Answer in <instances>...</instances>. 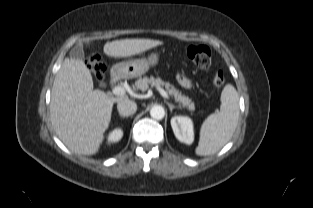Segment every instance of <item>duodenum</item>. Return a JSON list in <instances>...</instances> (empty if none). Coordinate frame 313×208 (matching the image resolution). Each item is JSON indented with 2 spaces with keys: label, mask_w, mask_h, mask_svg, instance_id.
<instances>
[{
  "label": "duodenum",
  "mask_w": 313,
  "mask_h": 208,
  "mask_svg": "<svg viewBox=\"0 0 313 208\" xmlns=\"http://www.w3.org/2000/svg\"><path fill=\"white\" fill-rule=\"evenodd\" d=\"M118 79H119L118 72L113 71V73L111 74V77H110V83L115 84L118 81Z\"/></svg>",
  "instance_id": "duodenum-1"
}]
</instances>
